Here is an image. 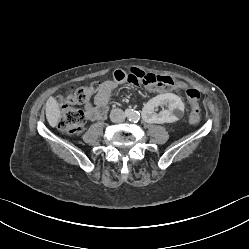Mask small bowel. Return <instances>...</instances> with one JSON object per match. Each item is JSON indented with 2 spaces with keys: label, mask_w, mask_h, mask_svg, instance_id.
Here are the masks:
<instances>
[{
  "label": "small bowel",
  "mask_w": 249,
  "mask_h": 249,
  "mask_svg": "<svg viewBox=\"0 0 249 249\" xmlns=\"http://www.w3.org/2000/svg\"><path fill=\"white\" fill-rule=\"evenodd\" d=\"M161 78L165 79L166 77L161 76ZM143 80L144 73L141 68H134L129 74L123 70H116L113 74V79L101 83L100 89L94 94L93 97L89 98L85 102L84 108L86 118L91 121L102 119L107 114V106L111 93L118 87V85L128 82L130 86L134 87L141 85ZM162 87H171L175 90L181 88L174 81L172 83H165L159 88Z\"/></svg>",
  "instance_id": "obj_1"
}]
</instances>
